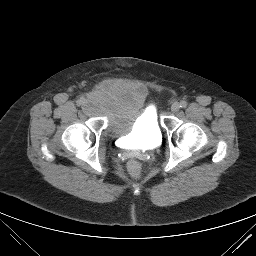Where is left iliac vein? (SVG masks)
<instances>
[{
  "mask_svg": "<svg viewBox=\"0 0 256 256\" xmlns=\"http://www.w3.org/2000/svg\"><path fill=\"white\" fill-rule=\"evenodd\" d=\"M180 109V104L178 102H174L172 105H171V110L172 112H177L179 111Z\"/></svg>",
  "mask_w": 256,
  "mask_h": 256,
  "instance_id": "obj_1",
  "label": "left iliac vein"
}]
</instances>
